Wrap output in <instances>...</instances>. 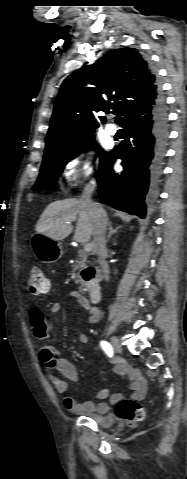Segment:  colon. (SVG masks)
Returning <instances> with one entry per match:
<instances>
[{
	"label": "colon",
	"mask_w": 187,
	"mask_h": 479,
	"mask_svg": "<svg viewBox=\"0 0 187 479\" xmlns=\"http://www.w3.org/2000/svg\"><path fill=\"white\" fill-rule=\"evenodd\" d=\"M48 287L45 273L39 268H32L27 280L28 292L34 296L42 295L48 291ZM115 415L128 425H133L143 420L144 410L135 400L124 398L116 404Z\"/></svg>",
	"instance_id": "1"
}]
</instances>
